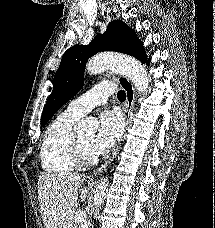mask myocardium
Returning <instances> with one entry per match:
<instances>
[{
    "instance_id": "f54148a6",
    "label": "myocardium",
    "mask_w": 215,
    "mask_h": 228,
    "mask_svg": "<svg viewBox=\"0 0 215 228\" xmlns=\"http://www.w3.org/2000/svg\"><path fill=\"white\" fill-rule=\"evenodd\" d=\"M71 154L79 166H91L97 162V156L88 154L82 147L77 136H73L70 143Z\"/></svg>"
}]
</instances>
